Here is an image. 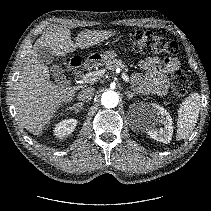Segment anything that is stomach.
<instances>
[{
  "mask_svg": "<svg viewBox=\"0 0 211 211\" xmlns=\"http://www.w3.org/2000/svg\"><path fill=\"white\" fill-rule=\"evenodd\" d=\"M118 54L117 49H110L105 51L103 54L95 55L92 54L88 57V61L95 65H103L109 63Z\"/></svg>",
  "mask_w": 211,
  "mask_h": 211,
  "instance_id": "obj_1",
  "label": "stomach"
}]
</instances>
